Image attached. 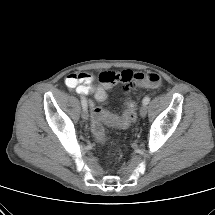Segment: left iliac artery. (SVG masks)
Returning <instances> with one entry per match:
<instances>
[{
  "label": "left iliac artery",
  "mask_w": 215,
  "mask_h": 215,
  "mask_svg": "<svg viewBox=\"0 0 215 215\" xmlns=\"http://www.w3.org/2000/svg\"><path fill=\"white\" fill-rule=\"evenodd\" d=\"M149 102H150V97L149 96L144 97L142 101L143 105H147Z\"/></svg>",
  "instance_id": "left-iliac-artery-1"
}]
</instances>
